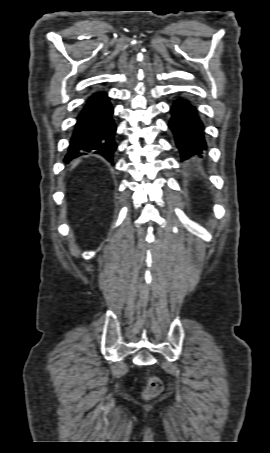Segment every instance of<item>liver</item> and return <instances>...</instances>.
Returning a JSON list of instances; mask_svg holds the SVG:
<instances>
[{
  "mask_svg": "<svg viewBox=\"0 0 270 453\" xmlns=\"http://www.w3.org/2000/svg\"><path fill=\"white\" fill-rule=\"evenodd\" d=\"M78 163H79V160H75V161L72 163V168H74Z\"/></svg>",
  "mask_w": 270,
  "mask_h": 453,
  "instance_id": "obj_1",
  "label": "liver"
}]
</instances>
